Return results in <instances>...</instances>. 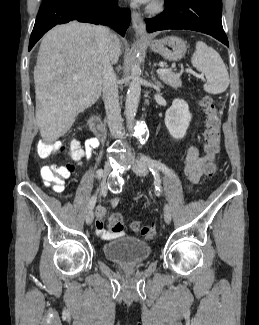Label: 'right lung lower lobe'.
Instances as JSON below:
<instances>
[{
  "instance_id": "right-lung-lower-lobe-1",
  "label": "right lung lower lobe",
  "mask_w": 259,
  "mask_h": 325,
  "mask_svg": "<svg viewBox=\"0 0 259 325\" xmlns=\"http://www.w3.org/2000/svg\"><path fill=\"white\" fill-rule=\"evenodd\" d=\"M72 20L107 24L122 36L130 23V11L116 0H43L29 41V50L52 27Z\"/></svg>"
}]
</instances>
